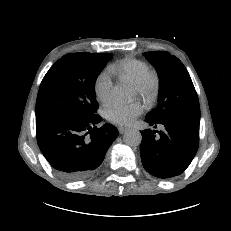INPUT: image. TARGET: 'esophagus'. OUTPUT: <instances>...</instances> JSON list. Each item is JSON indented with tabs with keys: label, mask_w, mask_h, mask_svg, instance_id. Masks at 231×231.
I'll use <instances>...</instances> for the list:
<instances>
[{
	"label": "esophagus",
	"mask_w": 231,
	"mask_h": 231,
	"mask_svg": "<svg viewBox=\"0 0 231 231\" xmlns=\"http://www.w3.org/2000/svg\"><path fill=\"white\" fill-rule=\"evenodd\" d=\"M127 130H128L127 127H118V131H119L120 134L125 133Z\"/></svg>",
	"instance_id": "1"
}]
</instances>
